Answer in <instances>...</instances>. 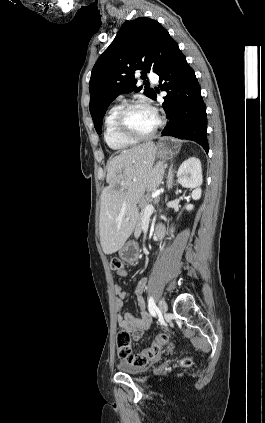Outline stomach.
Returning a JSON list of instances; mask_svg holds the SVG:
<instances>
[{
  "mask_svg": "<svg viewBox=\"0 0 265 423\" xmlns=\"http://www.w3.org/2000/svg\"><path fill=\"white\" fill-rule=\"evenodd\" d=\"M176 152V145L171 139H163L158 148V156L163 160H169ZM119 256L126 262L134 263L139 259L140 250L136 241H128L119 250Z\"/></svg>",
  "mask_w": 265,
  "mask_h": 423,
  "instance_id": "stomach-1",
  "label": "stomach"
}]
</instances>
